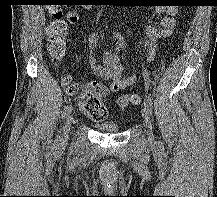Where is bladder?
<instances>
[{"label": "bladder", "instance_id": "1", "mask_svg": "<svg viewBox=\"0 0 217 197\" xmlns=\"http://www.w3.org/2000/svg\"><path fill=\"white\" fill-rule=\"evenodd\" d=\"M95 128L108 133H117L120 130V126L115 122L97 123Z\"/></svg>", "mask_w": 217, "mask_h": 197}]
</instances>
